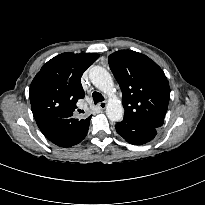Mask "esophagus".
I'll return each mask as SVG.
<instances>
[{
	"label": "esophagus",
	"mask_w": 205,
	"mask_h": 205,
	"mask_svg": "<svg viewBox=\"0 0 205 205\" xmlns=\"http://www.w3.org/2000/svg\"><path fill=\"white\" fill-rule=\"evenodd\" d=\"M106 102H100L99 104H98V108H100L101 110H104L105 108H106Z\"/></svg>",
	"instance_id": "34e87169"
}]
</instances>
